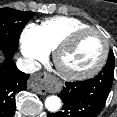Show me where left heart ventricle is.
<instances>
[{"instance_id": "b2bd125f", "label": "left heart ventricle", "mask_w": 117, "mask_h": 117, "mask_svg": "<svg viewBox=\"0 0 117 117\" xmlns=\"http://www.w3.org/2000/svg\"><path fill=\"white\" fill-rule=\"evenodd\" d=\"M103 40L94 33L81 35L63 54L62 66L69 71L81 72L93 67L103 53Z\"/></svg>"}]
</instances>
